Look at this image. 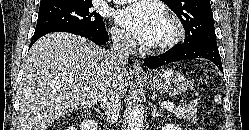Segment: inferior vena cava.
Segmentation results:
<instances>
[{"instance_id": "602c4592", "label": "inferior vena cava", "mask_w": 249, "mask_h": 130, "mask_svg": "<svg viewBox=\"0 0 249 130\" xmlns=\"http://www.w3.org/2000/svg\"><path fill=\"white\" fill-rule=\"evenodd\" d=\"M135 45V42L127 35L117 32L112 34V46L108 53L110 64L117 75L126 69L129 54ZM120 106V96L115 88L106 90L101 97V107L105 110L107 122H117L120 116Z\"/></svg>"}]
</instances>
